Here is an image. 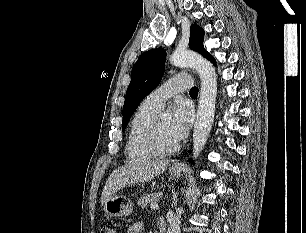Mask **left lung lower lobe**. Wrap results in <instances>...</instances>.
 <instances>
[{
	"label": "left lung lower lobe",
	"mask_w": 306,
	"mask_h": 233,
	"mask_svg": "<svg viewBox=\"0 0 306 233\" xmlns=\"http://www.w3.org/2000/svg\"><path fill=\"white\" fill-rule=\"evenodd\" d=\"M211 62H212V63H214V64H216V61H215V59H214V58L211 60Z\"/></svg>",
	"instance_id": "0a47b994"
}]
</instances>
